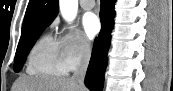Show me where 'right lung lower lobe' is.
Segmentation results:
<instances>
[{
	"mask_svg": "<svg viewBox=\"0 0 173 91\" xmlns=\"http://www.w3.org/2000/svg\"><path fill=\"white\" fill-rule=\"evenodd\" d=\"M115 0H101V31L95 40L85 84L91 91H101L107 65V53L111 43V31L114 26Z\"/></svg>",
	"mask_w": 173,
	"mask_h": 91,
	"instance_id": "1",
	"label": "right lung lower lobe"
}]
</instances>
